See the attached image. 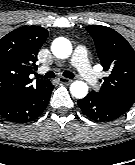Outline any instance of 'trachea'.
I'll use <instances>...</instances> for the list:
<instances>
[{
    "label": "trachea",
    "mask_w": 135,
    "mask_h": 165,
    "mask_svg": "<svg viewBox=\"0 0 135 165\" xmlns=\"http://www.w3.org/2000/svg\"><path fill=\"white\" fill-rule=\"evenodd\" d=\"M63 76L67 77L69 79H73L74 78V74L72 72L69 71H65L63 72ZM38 78H45V79H51L55 77V73L52 71L47 72L44 76L42 75H37Z\"/></svg>",
    "instance_id": "trachea-1"
}]
</instances>
